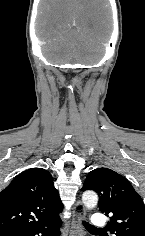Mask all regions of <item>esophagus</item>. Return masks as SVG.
Wrapping results in <instances>:
<instances>
[{
	"mask_svg": "<svg viewBox=\"0 0 145 236\" xmlns=\"http://www.w3.org/2000/svg\"><path fill=\"white\" fill-rule=\"evenodd\" d=\"M85 216V208L80 201H77L73 208V218L70 236H82V219Z\"/></svg>",
	"mask_w": 145,
	"mask_h": 236,
	"instance_id": "obj_1",
	"label": "esophagus"
}]
</instances>
